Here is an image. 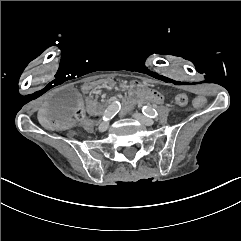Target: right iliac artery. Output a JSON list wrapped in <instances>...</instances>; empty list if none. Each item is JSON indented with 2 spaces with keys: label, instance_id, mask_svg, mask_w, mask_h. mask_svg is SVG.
<instances>
[{
  "label": "right iliac artery",
  "instance_id": "obj_1",
  "mask_svg": "<svg viewBox=\"0 0 241 241\" xmlns=\"http://www.w3.org/2000/svg\"><path fill=\"white\" fill-rule=\"evenodd\" d=\"M120 110V103L118 101H114L108 109L104 112L102 119L104 121H108L112 119Z\"/></svg>",
  "mask_w": 241,
  "mask_h": 241
}]
</instances>
